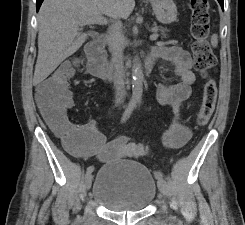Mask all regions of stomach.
<instances>
[{
    "label": "stomach",
    "mask_w": 245,
    "mask_h": 225,
    "mask_svg": "<svg viewBox=\"0 0 245 225\" xmlns=\"http://www.w3.org/2000/svg\"><path fill=\"white\" fill-rule=\"evenodd\" d=\"M156 19L162 24L176 21L177 7L173 0H149Z\"/></svg>",
    "instance_id": "obj_1"
}]
</instances>
